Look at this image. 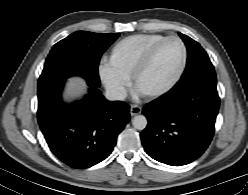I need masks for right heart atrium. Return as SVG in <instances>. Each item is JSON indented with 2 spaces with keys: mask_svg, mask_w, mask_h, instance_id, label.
Segmentation results:
<instances>
[{
  "mask_svg": "<svg viewBox=\"0 0 248 195\" xmlns=\"http://www.w3.org/2000/svg\"><path fill=\"white\" fill-rule=\"evenodd\" d=\"M100 77L104 86L112 92L122 93L127 88V78L117 73L111 64H107L101 68Z\"/></svg>",
  "mask_w": 248,
  "mask_h": 195,
  "instance_id": "right-heart-atrium-1",
  "label": "right heart atrium"
}]
</instances>
